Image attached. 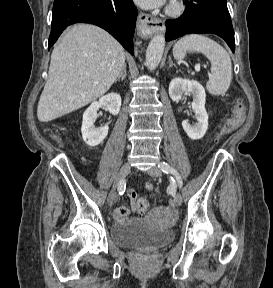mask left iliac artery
I'll use <instances>...</instances> for the list:
<instances>
[{"mask_svg": "<svg viewBox=\"0 0 273 288\" xmlns=\"http://www.w3.org/2000/svg\"><path fill=\"white\" fill-rule=\"evenodd\" d=\"M158 167L165 173L168 175H173L178 183L179 188L182 187L183 185V181H182V177L179 174V172L174 169L172 166H170L168 163L166 162H161L160 164H158ZM172 181L174 182V179L171 177Z\"/></svg>", "mask_w": 273, "mask_h": 288, "instance_id": "left-iliac-artery-1", "label": "left iliac artery"}]
</instances>
